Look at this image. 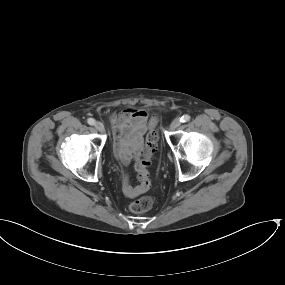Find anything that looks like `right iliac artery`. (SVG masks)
I'll return each mask as SVG.
<instances>
[{"label":"right iliac artery","instance_id":"82829eb1","mask_svg":"<svg viewBox=\"0 0 285 285\" xmlns=\"http://www.w3.org/2000/svg\"><path fill=\"white\" fill-rule=\"evenodd\" d=\"M87 122L89 125H94L95 124V120L93 118H88Z\"/></svg>","mask_w":285,"mask_h":285}]
</instances>
